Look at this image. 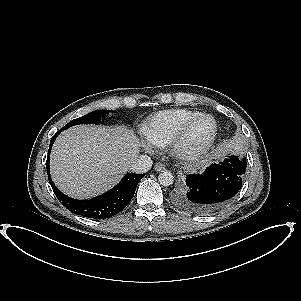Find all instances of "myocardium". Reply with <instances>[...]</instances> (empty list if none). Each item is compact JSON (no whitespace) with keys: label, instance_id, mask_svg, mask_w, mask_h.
<instances>
[{"label":"myocardium","instance_id":"f54148a6","mask_svg":"<svg viewBox=\"0 0 301 301\" xmlns=\"http://www.w3.org/2000/svg\"><path fill=\"white\" fill-rule=\"evenodd\" d=\"M209 119L213 124L212 133L208 139L198 147H187L185 145V140L187 138L189 130L192 126L199 120ZM218 131V125L215 118L209 114L201 113L188 122H186L180 130L176 133L169 144L171 153L178 159L183 161H196L203 157L209 149L212 147Z\"/></svg>","mask_w":301,"mask_h":301}]
</instances>
